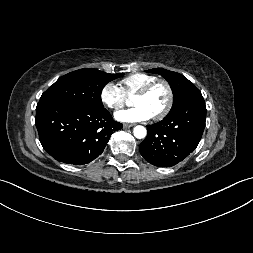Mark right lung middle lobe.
Returning <instances> with one entry per match:
<instances>
[{
    "mask_svg": "<svg viewBox=\"0 0 253 253\" xmlns=\"http://www.w3.org/2000/svg\"><path fill=\"white\" fill-rule=\"evenodd\" d=\"M124 74H108L99 70L85 68L60 77L40 101L62 102L90 109H103L101 92L104 86Z\"/></svg>",
    "mask_w": 253,
    "mask_h": 253,
    "instance_id": "obj_1",
    "label": "right lung middle lobe"
}]
</instances>
